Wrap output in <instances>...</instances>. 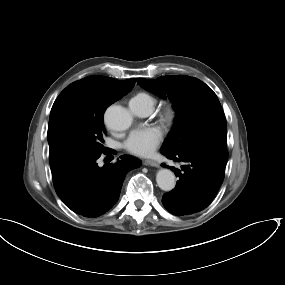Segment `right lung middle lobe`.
Wrapping results in <instances>:
<instances>
[{
	"instance_id": "right-lung-middle-lobe-1",
	"label": "right lung middle lobe",
	"mask_w": 285,
	"mask_h": 285,
	"mask_svg": "<svg viewBox=\"0 0 285 285\" xmlns=\"http://www.w3.org/2000/svg\"><path fill=\"white\" fill-rule=\"evenodd\" d=\"M115 101L102 89L79 81L60 93L52 106L48 126L51 169L107 150L103 146V114Z\"/></svg>"
}]
</instances>
